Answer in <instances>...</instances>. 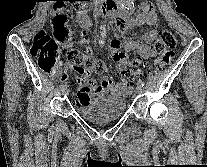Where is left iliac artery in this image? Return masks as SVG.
Returning <instances> with one entry per match:
<instances>
[{
    "label": "left iliac artery",
    "mask_w": 207,
    "mask_h": 167,
    "mask_svg": "<svg viewBox=\"0 0 207 167\" xmlns=\"http://www.w3.org/2000/svg\"><path fill=\"white\" fill-rule=\"evenodd\" d=\"M137 84L140 85L141 87L144 86V82L141 79L138 80Z\"/></svg>",
    "instance_id": "44dca946"
}]
</instances>
